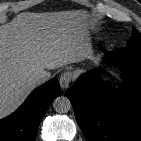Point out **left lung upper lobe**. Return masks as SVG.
Wrapping results in <instances>:
<instances>
[{"instance_id":"5c2ea615","label":"left lung upper lobe","mask_w":141,"mask_h":141,"mask_svg":"<svg viewBox=\"0 0 141 141\" xmlns=\"http://www.w3.org/2000/svg\"><path fill=\"white\" fill-rule=\"evenodd\" d=\"M128 45H140L141 46V34L133 28L132 37L128 41Z\"/></svg>"}]
</instances>
